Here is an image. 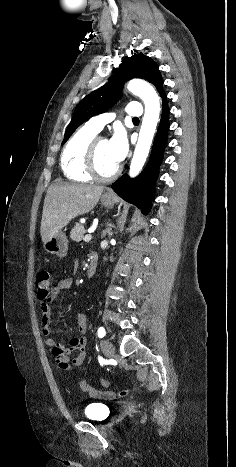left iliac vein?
Here are the masks:
<instances>
[{"instance_id": "1", "label": "left iliac vein", "mask_w": 236, "mask_h": 467, "mask_svg": "<svg viewBox=\"0 0 236 467\" xmlns=\"http://www.w3.org/2000/svg\"><path fill=\"white\" fill-rule=\"evenodd\" d=\"M101 348L106 357L111 358L115 354L114 345L108 340L101 341Z\"/></svg>"}]
</instances>
